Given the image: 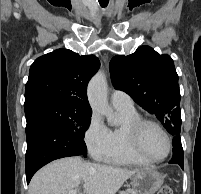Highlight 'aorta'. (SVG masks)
Masks as SVG:
<instances>
[{"mask_svg":"<svg viewBox=\"0 0 201 194\" xmlns=\"http://www.w3.org/2000/svg\"><path fill=\"white\" fill-rule=\"evenodd\" d=\"M88 100L93 111L106 116L108 122L114 120L113 111L107 101V81L102 71L89 82Z\"/></svg>","mask_w":201,"mask_h":194,"instance_id":"762f6f07","label":"aorta"}]
</instances>
